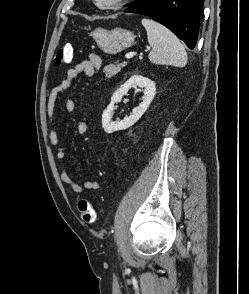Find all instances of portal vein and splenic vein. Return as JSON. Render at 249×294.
Segmentation results:
<instances>
[{
  "mask_svg": "<svg viewBox=\"0 0 249 294\" xmlns=\"http://www.w3.org/2000/svg\"><path fill=\"white\" fill-rule=\"evenodd\" d=\"M134 55H135V53H133V52H131V53H127V54L125 55V58H126V59H130V58H132Z\"/></svg>",
  "mask_w": 249,
  "mask_h": 294,
  "instance_id": "portal-vein-and-splenic-vein-1",
  "label": "portal vein and splenic vein"
}]
</instances>
